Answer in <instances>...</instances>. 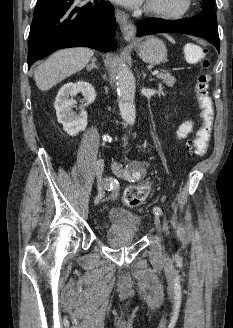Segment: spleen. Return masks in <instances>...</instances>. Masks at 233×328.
I'll list each match as a JSON object with an SVG mask.
<instances>
[{
	"label": "spleen",
	"instance_id": "3e777b00",
	"mask_svg": "<svg viewBox=\"0 0 233 328\" xmlns=\"http://www.w3.org/2000/svg\"><path fill=\"white\" fill-rule=\"evenodd\" d=\"M187 48H189L190 50H192L196 54V56L199 57L201 55L200 49L197 46L192 45V44H188L187 45Z\"/></svg>",
	"mask_w": 233,
	"mask_h": 328
}]
</instances>
